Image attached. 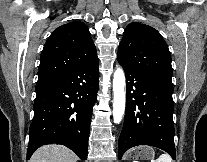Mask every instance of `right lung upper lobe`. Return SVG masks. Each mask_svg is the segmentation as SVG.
<instances>
[{
  "mask_svg": "<svg viewBox=\"0 0 207 162\" xmlns=\"http://www.w3.org/2000/svg\"><path fill=\"white\" fill-rule=\"evenodd\" d=\"M97 60L87 26L80 21L64 24L55 29L46 41L40 56L38 80Z\"/></svg>",
  "mask_w": 207,
  "mask_h": 162,
  "instance_id": "cb5924a9",
  "label": "right lung upper lobe"
}]
</instances>
